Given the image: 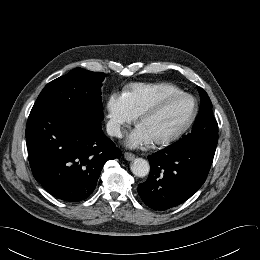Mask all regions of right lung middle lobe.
Listing matches in <instances>:
<instances>
[{"label":"right lung middle lobe","instance_id":"dd1d6c3e","mask_svg":"<svg viewBox=\"0 0 260 260\" xmlns=\"http://www.w3.org/2000/svg\"><path fill=\"white\" fill-rule=\"evenodd\" d=\"M105 74L75 68L48 83L31 112L41 110L76 111L103 119L101 86Z\"/></svg>","mask_w":260,"mask_h":260}]
</instances>
